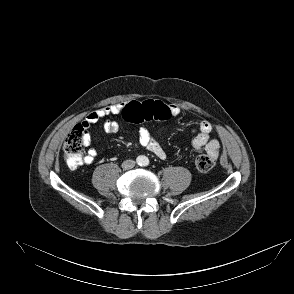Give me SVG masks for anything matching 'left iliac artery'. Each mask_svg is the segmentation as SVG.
Returning <instances> with one entry per match:
<instances>
[{
  "label": "left iliac artery",
  "instance_id": "obj_1",
  "mask_svg": "<svg viewBox=\"0 0 294 294\" xmlns=\"http://www.w3.org/2000/svg\"><path fill=\"white\" fill-rule=\"evenodd\" d=\"M147 165H149V160H148V159H146V160L144 161V166H147Z\"/></svg>",
  "mask_w": 294,
  "mask_h": 294
}]
</instances>
